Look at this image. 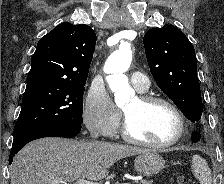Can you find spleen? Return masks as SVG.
<instances>
[{"mask_svg": "<svg viewBox=\"0 0 224 184\" xmlns=\"http://www.w3.org/2000/svg\"><path fill=\"white\" fill-rule=\"evenodd\" d=\"M191 169L201 184H212L211 170L201 156L193 155Z\"/></svg>", "mask_w": 224, "mask_h": 184, "instance_id": "3e777b00", "label": "spleen"}]
</instances>
